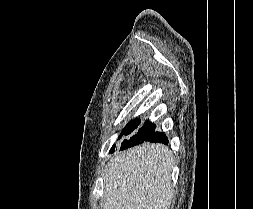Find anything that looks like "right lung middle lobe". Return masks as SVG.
Segmentation results:
<instances>
[{
    "instance_id": "obj_1",
    "label": "right lung middle lobe",
    "mask_w": 253,
    "mask_h": 209,
    "mask_svg": "<svg viewBox=\"0 0 253 209\" xmlns=\"http://www.w3.org/2000/svg\"><path fill=\"white\" fill-rule=\"evenodd\" d=\"M140 125V119L136 118L131 120L122 130L121 135L118 139H121L122 136H125L121 139V150L127 149L129 147L142 144L144 141L142 135L144 133L151 132L156 126L148 121L145 122L144 126L137 130ZM116 145L114 144L110 152L115 150Z\"/></svg>"
}]
</instances>
